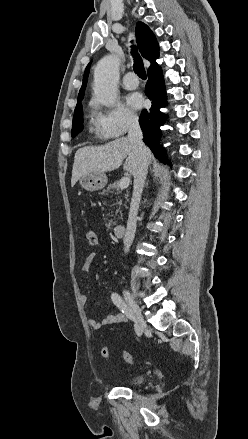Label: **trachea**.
Instances as JSON below:
<instances>
[{
	"label": "trachea",
	"instance_id": "obj_1",
	"mask_svg": "<svg viewBox=\"0 0 248 439\" xmlns=\"http://www.w3.org/2000/svg\"><path fill=\"white\" fill-rule=\"evenodd\" d=\"M132 55L134 57V70L135 73L141 78V79H146L147 75H146V71L144 68V65L142 63V60L137 52V49L135 46H132Z\"/></svg>",
	"mask_w": 248,
	"mask_h": 439
}]
</instances>
